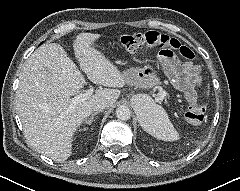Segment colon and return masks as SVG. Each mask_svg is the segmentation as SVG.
Listing matches in <instances>:
<instances>
[{"instance_id": "1", "label": "colon", "mask_w": 240, "mask_h": 191, "mask_svg": "<svg viewBox=\"0 0 240 191\" xmlns=\"http://www.w3.org/2000/svg\"><path fill=\"white\" fill-rule=\"evenodd\" d=\"M117 44L128 51H135L142 47H159L160 58L165 61L178 52L186 60H195L193 51L182 45L177 39L156 31L125 35L117 40ZM186 120L192 125H200L205 118V107L201 103H192L185 113Z\"/></svg>"}]
</instances>
